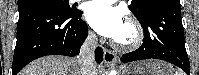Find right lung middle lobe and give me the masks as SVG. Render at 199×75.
<instances>
[{
	"label": "right lung middle lobe",
	"mask_w": 199,
	"mask_h": 75,
	"mask_svg": "<svg viewBox=\"0 0 199 75\" xmlns=\"http://www.w3.org/2000/svg\"><path fill=\"white\" fill-rule=\"evenodd\" d=\"M28 8L52 9L64 16H70L75 12L68 5V0H18L19 11Z\"/></svg>",
	"instance_id": "dd1d6c3e"
}]
</instances>
